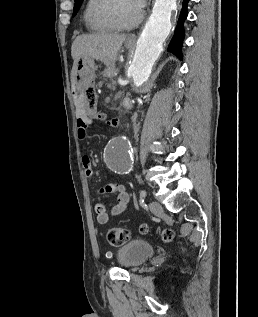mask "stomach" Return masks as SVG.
<instances>
[{
    "label": "stomach",
    "mask_w": 258,
    "mask_h": 317,
    "mask_svg": "<svg viewBox=\"0 0 258 317\" xmlns=\"http://www.w3.org/2000/svg\"><path fill=\"white\" fill-rule=\"evenodd\" d=\"M133 44L134 42L133 40H131V38H127V40H125L126 48H132ZM74 68H75V82L77 84L80 76H82V74H85V72H91V74H93L95 70L94 58H92V56H80V58L76 60V64Z\"/></svg>",
    "instance_id": "obj_1"
}]
</instances>
